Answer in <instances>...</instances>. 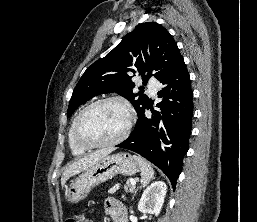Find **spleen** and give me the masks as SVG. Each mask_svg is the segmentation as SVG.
I'll return each mask as SVG.
<instances>
[{
	"label": "spleen",
	"instance_id": "obj_1",
	"mask_svg": "<svg viewBox=\"0 0 257 222\" xmlns=\"http://www.w3.org/2000/svg\"><path fill=\"white\" fill-rule=\"evenodd\" d=\"M134 158L137 160L140 170H141V184L143 186L147 185L149 181L153 178L154 176V170L151 167L150 163H148L146 160L143 158L134 155Z\"/></svg>",
	"mask_w": 257,
	"mask_h": 222
}]
</instances>
